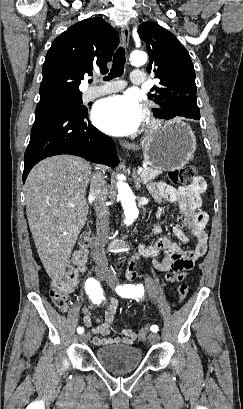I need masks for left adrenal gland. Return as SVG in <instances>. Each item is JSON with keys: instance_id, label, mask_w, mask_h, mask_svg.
Here are the masks:
<instances>
[{"instance_id": "left-adrenal-gland-1", "label": "left adrenal gland", "mask_w": 243, "mask_h": 409, "mask_svg": "<svg viewBox=\"0 0 243 409\" xmlns=\"http://www.w3.org/2000/svg\"><path fill=\"white\" fill-rule=\"evenodd\" d=\"M133 177H134V182H135V187H136V189H137V190H140V188H141V180H140V178L135 174V172H134Z\"/></svg>"}]
</instances>
